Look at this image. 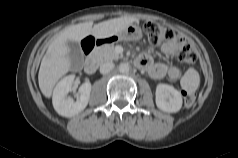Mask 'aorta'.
<instances>
[{
    "label": "aorta",
    "instance_id": "aorta-1",
    "mask_svg": "<svg viewBox=\"0 0 238 158\" xmlns=\"http://www.w3.org/2000/svg\"><path fill=\"white\" fill-rule=\"evenodd\" d=\"M130 70V65L128 63H121L119 65V71L121 73H128Z\"/></svg>",
    "mask_w": 238,
    "mask_h": 158
}]
</instances>
